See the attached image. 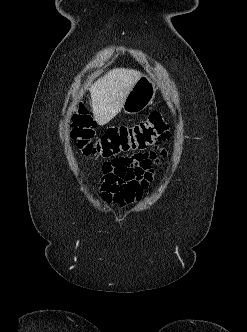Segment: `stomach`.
Wrapping results in <instances>:
<instances>
[{
  "label": "stomach",
  "mask_w": 247,
  "mask_h": 332,
  "mask_svg": "<svg viewBox=\"0 0 247 332\" xmlns=\"http://www.w3.org/2000/svg\"><path fill=\"white\" fill-rule=\"evenodd\" d=\"M157 91L155 81L148 75H141L127 94L122 109L126 114H137L148 107Z\"/></svg>",
  "instance_id": "obj_1"
}]
</instances>
